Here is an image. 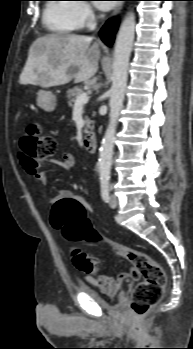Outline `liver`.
Listing matches in <instances>:
<instances>
[{
    "label": "liver",
    "mask_w": 193,
    "mask_h": 349,
    "mask_svg": "<svg viewBox=\"0 0 193 349\" xmlns=\"http://www.w3.org/2000/svg\"><path fill=\"white\" fill-rule=\"evenodd\" d=\"M82 35L55 33L38 37L30 46L19 78L22 85L53 87L85 82L98 71L100 50L97 42ZM76 67V72L70 68Z\"/></svg>",
    "instance_id": "6515ba94"
}]
</instances>
